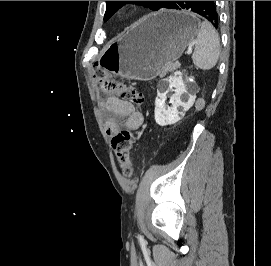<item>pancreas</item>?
Here are the masks:
<instances>
[{
	"label": "pancreas",
	"mask_w": 271,
	"mask_h": 266,
	"mask_svg": "<svg viewBox=\"0 0 271 266\" xmlns=\"http://www.w3.org/2000/svg\"><path fill=\"white\" fill-rule=\"evenodd\" d=\"M178 64L177 63H170L168 65H166L162 72L160 73L161 76H165L168 72H173L174 70H176L178 68Z\"/></svg>",
	"instance_id": "pancreas-1"
}]
</instances>
